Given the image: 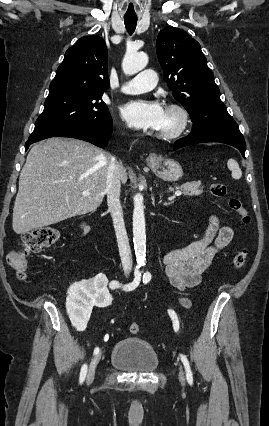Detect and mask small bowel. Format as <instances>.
Listing matches in <instances>:
<instances>
[{
  "label": "small bowel",
  "instance_id": "small-bowel-1",
  "mask_svg": "<svg viewBox=\"0 0 269 426\" xmlns=\"http://www.w3.org/2000/svg\"><path fill=\"white\" fill-rule=\"evenodd\" d=\"M233 236L234 230L230 225L220 224L218 219L211 218L200 238L167 252L163 262L171 285L178 292L196 287L201 275L213 265L217 252L225 248ZM179 301L184 308L191 306L186 297L181 296Z\"/></svg>",
  "mask_w": 269,
  "mask_h": 426
}]
</instances>
